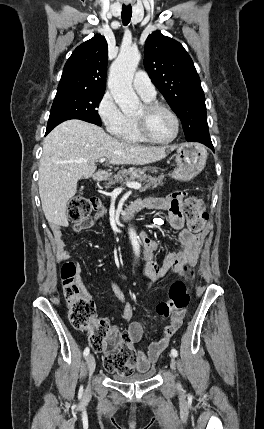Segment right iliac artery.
<instances>
[{"label":"right iliac artery","mask_w":264,"mask_h":429,"mask_svg":"<svg viewBox=\"0 0 264 429\" xmlns=\"http://www.w3.org/2000/svg\"><path fill=\"white\" fill-rule=\"evenodd\" d=\"M89 352H90V349H89V347H86L85 349H84V356L85 357H87L88 356V354H89Z\"/></svg>","instance_id":"1"}]
</instances>
